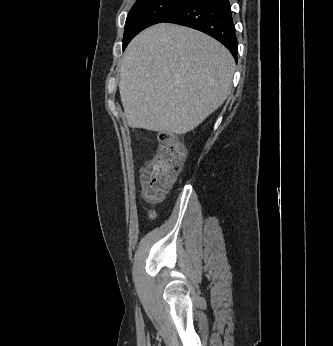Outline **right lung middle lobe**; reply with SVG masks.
<instances>
[{
  "instance_id": "obj_1",
  "label": "right lung middle lobe",
  "mask_w": 333,
  "mask_h": 346,
  "mask_svg": "<svg viewBox=\"0 0 333 346\" xmlns=\"http://www.w3.org/2000/svg\"><path fill=\"white\" fill-rule=\"evenodd\" d=\"M185 0H137L125 23L123 50L145 28L163 22Z\"/></svg>"
}]
</instances>
